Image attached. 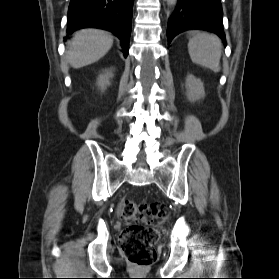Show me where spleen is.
Returning <instances> with one entry per match:
<instances>
[{
	"label": "spleen",
	"instance_id": "spleen-1",
	"mask_svg": "<svg viewBox=\"0 0 279 279\" xmlns=\"http://www.w3.org/2000/svg\"><path fill=\"white\" fill-rule=\"evenodd\" d=\"M188 52L194 63L214 72L220 71L222 45L216 35L197 32L189 40Z\"/></svg>",
	"mask_w": 279,
	"mask_h": 279
}]
</instances>
